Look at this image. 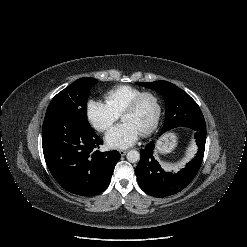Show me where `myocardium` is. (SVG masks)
Returning <instances> with one entry per match:
<instances>
[{
    "instance_id": "obj_1",
    "label": "myocardium",
    "mask_w": 247,
    "mask_h": 247,
    "mask_svg": "<svg viewBox=\"0 0 247 247\" xmlns=\"http://www.w3.org/2000/svg\"><path fill=\"white\" fill-rule=\"evenodd\" d=\"M147 96H151L154 98L157 106V113L152 125L141 132L142 136H148L152 134L154 131H156V129L158 128L161 122L163 115V104L160 96L153 91H143L140 94H138L132 101H130V103L123 109L121 113V118H122L124 114L136 110L140 105L141 101Z\"/></svg>"
}]
</instances>
